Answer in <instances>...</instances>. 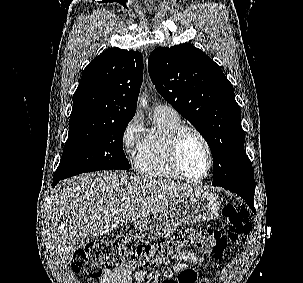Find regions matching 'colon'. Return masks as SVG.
Masks as SVG:
<instances>
[{
    "instance_id": "5ec220e1",
    "label": "colon",
    "mask_w": 303,
    "mask_h": 283,
    "mask_svg": "<svg viewBox=\"0 0 303 283\" xmlns=\"http://www.w3.org/2000/svg\"><path fill=\"white\" fill-rule=\"evenodd\" d=\"M222 216L227 224L225 232L211 228L186 230L171 239L151 244H128L111 239L89 243L76 251L72 270L75 273L84 272L91 279L110 270L142 271L168 262L187 246H193L214 259H221L229 241H238L251 230L249 213L245 208L225 204ZM196 281L197 273L186 268L179 272L176 279H167L163 283Z\"/></svg>"
}]
</instances>
